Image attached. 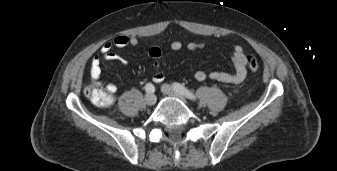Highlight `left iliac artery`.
I'll use <instances>...</instances> for the list:
<instances>
[{
  "label": "left iliac artery",
  "instance_id": "44dca946",
  "mask_svg": "<svg viewBox=\"0 0 337 171\" xmlns=\"http://www.w3.org/2000/svg\"><path fill=\"white\" fill-rule=\"evenodd\" d=\"M173 87L178 93L182 94L183 96L187 97L188 99L196 100V96L191 91H189L186 87H184L183 85H181L179 83H174Z\"/></svg>",
  "mask_w": 337,
  "mask_h": 171
}]
</instances>
